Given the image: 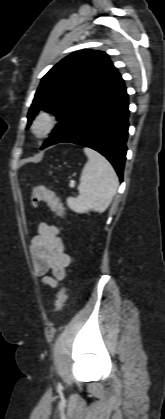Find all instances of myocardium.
Wrapping results in <instances>:
<instances>
[{"label": "myocardium", "mask_w": 165, "mask_h": 419, "mask_svg": "<svg viewBox=\"0 0 165 419\" xmlns=\"http://www.w3.org/2000/svg\"><path fill=\"white\" fill-rule=\"evenodd\" d=\"M56 126V118L49 111H40L32 121L31 131L37 138L49 135Z\"/></svg>", "instance_id": "myocardium-1"}]
</instances>
